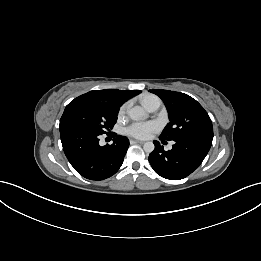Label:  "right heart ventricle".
<instances>
[{
	"mask_svg": "<svg viewBox=\"0 0 261 261\" xmlns=\"http://www.w3.org/2000/svg\"><path fill=\"white\" fill-rule=\"evenodd\" d=\"M153 95H146L141 99V103L144 106L151 98H153Z\"/></svg>",
	"mask_w": 261,
	"mask_h": 261,
	"instance_id": "1",
	"label": "right heart ventricle"
}]
</instances>
